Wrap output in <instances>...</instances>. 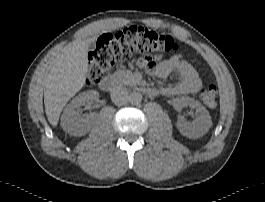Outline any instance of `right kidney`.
<instances>
[{
  "mask_svg": "<svg viewBox=\"0 0 265 202\" xmlns=\"http://www.w3.org/2000/svg\"><path fill=\"white\" fill-rule=\"evenodd\" d=\"M97 91H86L76 96L64 109L61 116V127L72 136H83L88 133L96 115L94 113L81 117L79 107L98 98Z\"/></svg>",
  "mask_w": 265,
  "mask_h": 202,
  "instance_id": "ca27d5eb",
  "label": "right kidney"
}]
</instances>
